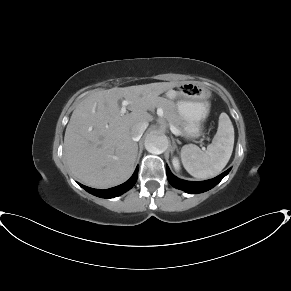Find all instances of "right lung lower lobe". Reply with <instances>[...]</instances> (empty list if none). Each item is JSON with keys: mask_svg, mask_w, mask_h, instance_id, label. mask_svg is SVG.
Segmentation results:
<instances>
[{"mask_svg": "<svg viewBox=\"0 0 291 291\" xmlns=\"http://www.w3.org/2000/svg\"><path fill=\"white\" fill-rule=\"evenodd\" d=\"M137 176H138V168H136L135 172L133 173V175L131 176V178L128 181H126L125 183H123L119 186H116V187H113L110 189H106V190L93 189V188H90V187H87V186H84L81 184H80V186L82 188H84L87 192H89L95 196H98L101 198H114V197L119 196V195L123 194L124 192L128 191L130 188H132L133 185L137 181Z\"/></svg>", "mask_w": 291, "mask_h": 291, "instance_id": "1", "label": "right lung lower lobe"}]
</instances>
